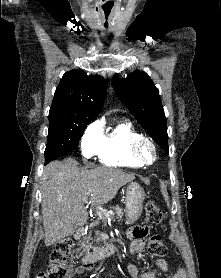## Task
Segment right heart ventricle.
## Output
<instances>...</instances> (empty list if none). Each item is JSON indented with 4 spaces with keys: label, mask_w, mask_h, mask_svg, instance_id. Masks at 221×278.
<instances>
[{
    "label": "right heart ventricle",
    "mask_w": 221,
    "mask_h": 278,
    "mask_svg": "<svg viewBox=\"0 0 221 278\" xmlns=\"http://www.w3.org/2000/svg\"><path fill=\"white\" fill-rule=\"evenodd\" d=\"M140 134L132 123L121 121L103 133L96 153L101 164L117 167H141L129 154V145Z\"/></svg>",
    "instance_id": "1"
}]
</instances>
